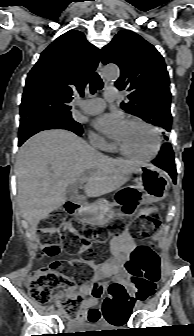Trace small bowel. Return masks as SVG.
Masks as SVG:
<instances>
[{
    "instance_id": "1",
    "label": "small bowel",
    "mask_w": 194,
    "mask_h": 336,
    "mask_svg": "<svg viewBox=\"0 0 194 336\" xmlns=\"http://www.w3.org/2000/svg\"><path fill=\"white\" fill-rule=\"evenodd\" d=\"M136 250L137 246L129 232L124 231L115 236L110 242L109 258L103 263L91 264L93 269L92 277L88 281L82 283L77 289L60 291L56 296L57 300L75 293L87 297L83 301V310L76 321L87 322L92 326H96L101 321V317L100 311L97 308L98 300L97 297L92 295V290L100 285L102 281L111 277H117L119 271L131 262ZM155 265L160 275V263L157 256H155ZM151 289L152 285L149 286L147 283L143 282L141 278H138L134 284L128 286L129 293L134 296H137L142 292L150 291Z\"/></svg>"
}]
</instances>
